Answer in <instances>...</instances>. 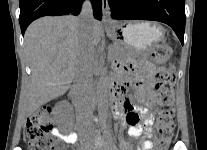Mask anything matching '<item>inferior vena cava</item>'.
<instances>
[{
  "label": "inferior vena cava",
  "instance_id": "602c4592",
  "mask_svg": "<svg viewBox=\"0 0 207 150\" xmlns=\"http://www.w3.org/2000/svg\"><path fill=\"white\" fill-rule=\"evenodd\" d=\"M81 26V44L76 65V88L80 101L90 99L93 89V72L95 63V46L90 37L93 21L90 1H85L78 16Z\"/></svg>",
  "mask_w": 207,
  "mask_h": 150
}]
</instances>
